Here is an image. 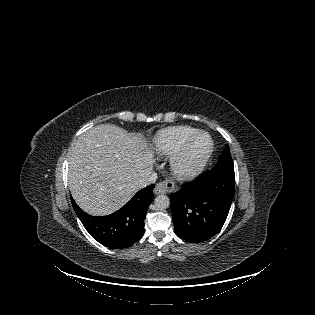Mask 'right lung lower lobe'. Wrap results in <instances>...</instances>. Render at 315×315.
Wrapping results in <instances>:
<instances>
[{"instance_id":"1","label":"right lung lower lobe","mask_w":315,"mask_h":315,"mask_svg":"<svg viewBox=\"0 0 315 315\" xmlns=\"http://www.w3.org/2000/svg\"><path fill=\"white\" fill-rule=\"evenodd\" d=\"M154 184L138 191L121 209L113 214L95 217L82 211L73 199V208L89 234L109 248H126L144 234V219L153 200Z\"/></svg>"}]
</instances>
